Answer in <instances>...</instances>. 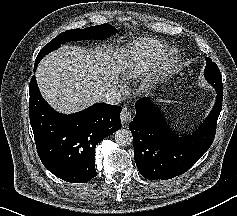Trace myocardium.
I'll return each instance as SVG.
<instances>
[{"label":"myocardium","mask_w":237,"mask_h":216,"mask_svg":"<svg viewBox=\"0 0 237 216\" xmlns=\"http://www.w3.org/2000/svg\"><path fill=\"white\" fill-rule=\"evenodd\" d=\"M182 62V50L177 46L167 47L156 67L145 74L142 81L132 91V95L140 96L155 92L162 83L169 82L176 77Z\"/></svg>","instance_id":"myocardium-1"}]
</instances>
